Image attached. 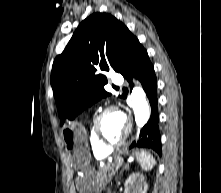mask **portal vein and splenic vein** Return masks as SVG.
<instances>
[{
	"label": "portal vein and splenic vein",
	"instance_id": "obj_1",
	"mask_svg": "<svg viewBox=\"0 0 221 193\" xmlns=\"http://www.w3.org/2000/svg\"><path fill=\"white\" fill-rule=\"evenodd\" d=\"M119 167H120V164H118V165H117L116 169H118ZM115 172H116V171H115V170H113V171H112V173L110 174V176L114 175V174H115Z\"/></svg>",
	"mask_w": 221,
	"mask_h": 193
}]
</instances>
